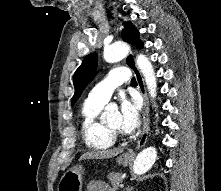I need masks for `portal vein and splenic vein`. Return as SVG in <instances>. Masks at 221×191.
I'll use <instances>...</instances> for the list:
<instances>
[{
  "mask_svg": "<svg viewBox=\"0 0 221 191\" xmlns=\"http://www.w3.org/2000/svg\"><path fill=\"white\" fill-rule=\"evenodd\" d=\"M120 187H124V184H120Z\"/></svg>",
  "mask_w": 221,
  "mask_h": 191,
  "instance_id": "obj_1",
  "label": "portal vein and splenic vein"
}]
</instances>
